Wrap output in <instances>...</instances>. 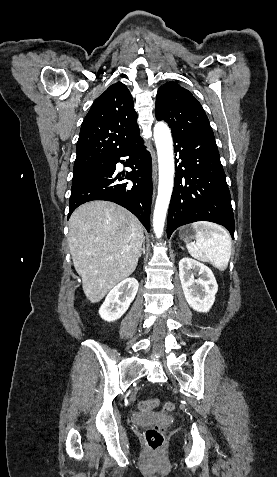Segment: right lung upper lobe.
Returning <instances> with one entry per match:
<instances>
[{"label":"right lung upper lobe","instance_id":"1","mask_svg":"<svg viewBox=\"0 0 277 477\" xmlns=\"http://www.w3.org/2000/svg\"><path fill=\"white\" fill-rule=\"evenodd\" d=\"M132 96L125 84H112L83 120L74 168L90 167L140 138Z\"/></svg>","mask_w":277,"mask_h":477}]
</instances>
